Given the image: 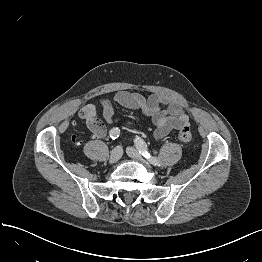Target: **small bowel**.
I'll return each instance as SVG.
<instances>
[{
  "instance_id": "1",
  "label": "small bowel",
  "mask_w": 262,
  "mask_h": 262,
  "mask_svg": "<svg viewBox=\"0 0 262 262\" xmlns=\"http://www.w3.org/2000/svg\"><path fill=\"white\" fill-rule=\"evenodd\" d=\"M120 105L132 111H139L149 118L154 125V137L161 139L172 130H178L189 125V115L183 104L175 98H165L152 94L148 98L136 92L117 91L111 98H101L98 104H85L78 116L84 120L93 138L105 136L106 130L96 117V110L100 108L104 119L111 124L121 123L125 117L115 113L114 106Z\"/></svg>"
}]
</instances>
